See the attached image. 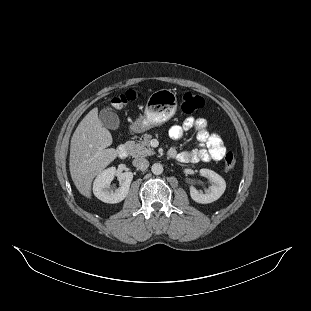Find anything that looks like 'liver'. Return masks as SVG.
<instances>
[{"mask_svg":"<svg viewBox=\"0 0 311 311\" xmlns=\"http://www.w3.org/2000/svg\"><path fill=\"white\" fill-rule=\"evenodd\" d=\"M112 135L103 127L95 107L77 126L70 144L69 168L78 191L91 198V184L96 175L107 167L118 152L112 145Z\"/></svg>","mask_w":311,"mask_h":311,"instance_id":"obj_1","label":"liver"}]
</instances>
